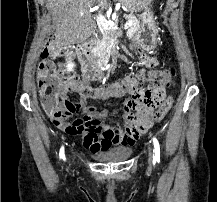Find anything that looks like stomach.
Instances as JSON below:
<instances>
[{
	"mask_svg": "<svg viewBox=\"0 0 217 202\" xmlns=\"http://www.w3.org/2000/svg\"><path fill=\"white\" fill-rule=\"evenodd\" d=\"M153 8L154 2L151 0L148 6L144 8L143 14H141L140 30L136 32L133 38L134 44H136L138 48L146 50V52L155 50L158 40V30L155 24Z\"/></svg>",
	"mask_w": 217,
	"mask_h": 202,
	"instance_id": "1",
	"label": "stomach"
}]
</instances>
